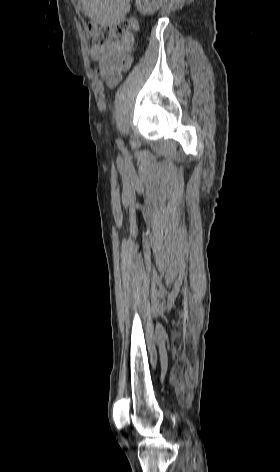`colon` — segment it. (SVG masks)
<instances>
[{
	"label": "colon",
	"instance_id": "colon-1",
	"mask_svg": "<svg viewBox=\"0 0 280 472\" xmlns=\"http://www.w3.org/2000/svg\"><path fill=\"white\" fill-rule=\"evenodd\" d=\"M131 24L129 22H120L112 27L101 28L95 24L89 25V34L94 46H107L114 37L128 34ZM124 61L121 66L125 67Z\"/></svg>",
	"mask_w": 280,
	"mask_h": 472
}]
</instances>
